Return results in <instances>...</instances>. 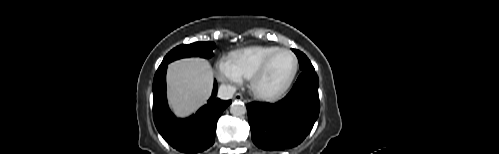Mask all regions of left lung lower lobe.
I'll return each instance as SVG.
<instances>
[{"label": "left lung lower lobe", "instance_id": "1", "mask_svg": "<svg viewBox=\"0 0 499 154\" xmlns=\"http://www.w3.org/2000/svg\"><path fill=\"white\" fill-rule=\"evenodd\" d=\"M318 85L314 71H302L282 100L274 104L249 103L247 111L253 143L266 151H280L300 144L319 115Z\"/></svg>", "mask_w": 499, "mask_h": 154}]
</instances>
